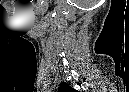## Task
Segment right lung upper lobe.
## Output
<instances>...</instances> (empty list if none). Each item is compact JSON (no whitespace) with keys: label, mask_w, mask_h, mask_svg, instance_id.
<instances>
[{"label":"right lung upper lobe","mask_w":129,"mask_h":92,"mask_svg":"<svg viewBox=\"0 0 129 92\" xmlns=\"http://www.w3.org/2000/svg\"><path fill=\"white\" fill-rule=\"evenodd\" d=\"M62 90V91H69V92H72V91H74V89H72L68 84H66V83H61V85H60V88H59V90Z\"/></svg>","instance_id":"1"}]
</instances>
